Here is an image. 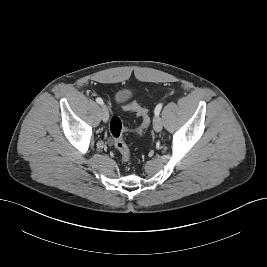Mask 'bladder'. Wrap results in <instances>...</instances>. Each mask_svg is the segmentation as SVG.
Wrapping results in <instances>:
<instances>
[{
	"label": "bladder",
	"instance_id": "obj_1",
	"mask_svg": "<svg viewBox=\"0 0 267 267\" xmlns=\"http://www.w3.org/2000/svg\"><path fill=\"white\" fill-rule=\"evenodd\" d=\"M132 92L127 88H120L114 94V100L117 104H123L130 100Z\"/></svg>",
	"mask_w": 267,
	"mask_h": 267
}]
</instances>
